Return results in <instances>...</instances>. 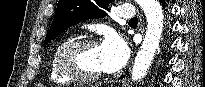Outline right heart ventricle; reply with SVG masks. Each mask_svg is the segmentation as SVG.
I'll use <instances>...</instances> for the list:
<instances>
[{
  "label": "right heart ventricle",
  "instance_id": "e07e8e85",
  "mask_svg": "<svg viewBox=\"0 0 205 87\" xmlns=\"http://www.w3.org/2000/svg\"><path fill=\"white\" fill-rule=\"evenodd\" d=\"M69 40H71V37H66L60 40L55 46L52 56L50 58L49 77H50L51 82L56 85H67L71 82L69 78L65 77L63 74L60 73L57 67V64H56V56H57L59 49Z\"/></svg>",
  "mask_w": 205,
  "mask_h": 87
}]
</instances>
